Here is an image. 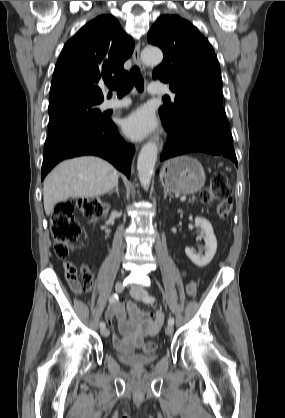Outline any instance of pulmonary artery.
<instances>
[{"instance_id":"e3ab8cb5","label":"pulmonary artery","mask_w":285,"mask_h":418,"mask_svg":"<svg viewBox=\"0 0 285 418\" xmlns=\"http://www.w3.org/2000/svg\"><path fill=\"white\" fill-rule=\"evenodd\" d=\"M149 92L151 94H170L172 96L175 95L168 87L164 85H153ZM128 104H130V100L128 99H116V98H110L105 99L103 102V109L105 110H117L121 109L123 107H126Z\"/></svg>"}]
</instances>
